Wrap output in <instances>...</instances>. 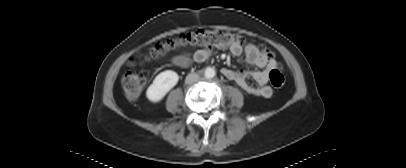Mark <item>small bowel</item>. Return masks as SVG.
Masks as SVG:
<instances>
[{
    "instance_id": "1",
    "label": "small bowel",
    "mask_w": 406,
    "mask_h": 168,
    "mask_svg": "<svg viewBox=\"0 0 406 168\" xmlns=\"http://www.w3.org/2000/svg\"><path fill=\"white\" fill-rule=\"evenodd\" d=\"M231 53L234 56L244 55V60L247 64L257 67V70H232L229 68L222 69V74L228 80L235 82L245 92L263 97L269 98L272 95L271 88L267 85L269 72L277 67L276 61L272 58L266 57L262 54L254 44L247 45L242 48H230ZM211 51L208 49H200L196 51L192 60L201 63L209 59ZM191 58L188 55L182 54L174 57L172 63L178 66H185L189 64ZM248 78L255 81L256 85H252L248 82Z\"/></svg>"
}]
</instances>
